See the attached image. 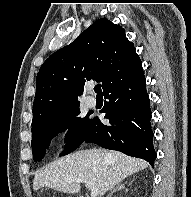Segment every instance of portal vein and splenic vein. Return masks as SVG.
<instances>
[{
    "instance_id": "1",
    "label": "portal vein and splenic vein",
    "mask_w": 191,
    "mask_h": 197,
    "mask_svg": "<svg viewBox=\"0 0 191 197\" xmlns=\"http://www.w3.org/2000/svg\"><path fill=\"white\" fill-rule=\"evenodd\" d=\"M74 182L85 183L91 189L90 196L91 197H97L98 196V193H99L98 188L94 185L93 182H91L89 180H85V179H76V180H74Z\"/></svg>"
}]
</instances>
